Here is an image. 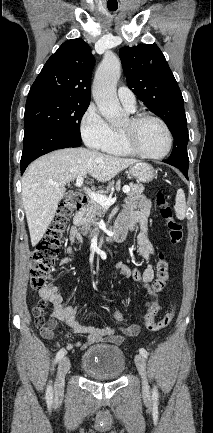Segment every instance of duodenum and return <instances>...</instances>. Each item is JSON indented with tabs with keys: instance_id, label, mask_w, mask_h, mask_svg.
Masks as SVG:
<instances>
[{
	"instance_id": "duodenum-1",
	"label": "duodenum",
	"mask_w": 213,
	"mask_h": 433,
	"mask_svg": "<svg viewBox=\"0 0 213 433\" xmlns=\"http://www.w3.org/2000/svg\"><path fill=\"white\" fill-rule=\"evenodd\" d=\"M86 204H87V198L85 199L80 210L84 209ZM130 230L131 229L127 226H116L112 234L106 238V241L109 243H120L125 239L128 231Z\"/></svg>"
}]
</instances>
